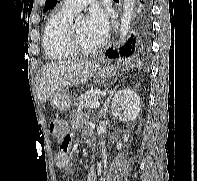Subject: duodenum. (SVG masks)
Wrapping results in <instances>:
<instances>
[{
  "mask_svg": "<svg viewBox=\"0 0 197 181\" xmlns=\"http://www.w3.org/2000/svg\"><path fill=\"white\" fill-rule=\"evenodd\" d=\"M86 141H87L88 145L90 146V148H94L95 147L96 141H95V138H94V136L92 134L88 135L86 137Z\"/></svg>",
  "mask_w": 197,
  "mask_h": 181,
  "instance_id": "duodenum-1",
  "label": "duodenum"
}]
</instances>
